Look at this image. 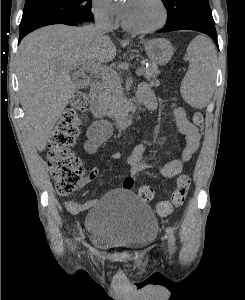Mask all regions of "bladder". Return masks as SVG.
I'll use <instances>...</instances> for the list:
<instances>
[{"mask_svg": "<svg viewBox=\"0 0 245 300\" xmlns=\"http://www.w3.org/2000/svg\"><path fill=\"white\" fill-rule=\"evenodd\" d=\"M85 228L96 246L138 249L155 239L158 221L142 199L129 190L117 189L94 203L86 215Z\"/></svg>", "mask_w": 245, "mask_h": 300, "instance_id": "obj_1", "label": "bladder"}]
</instances>
